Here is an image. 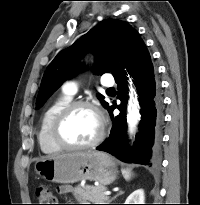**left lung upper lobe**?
I'll return each instance as SVG.
<instances>
[{
	"mask_svg": "<svg viewBox=\"0 0 200 205\" xmlns=\"http://www.w3.org/2000/svg\"><path fill=\"white\" fill-rule=\"evenodd\" d=\"M136 33L126 22L106 19L73 45L60 51L44 73L36 100V109L42 107L52 93L79 70V58L86 51H104L105 59L94 68V71L99 74L112 73ZM98 99L105 108H108L103 95L98 94Z\"/></svg>",
	"mask_w": 200,
	"mask_h": 205,
	"instance_id": "1",
	"label": "left lung upper lobe"
}]
</instances>
